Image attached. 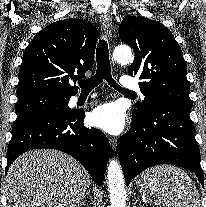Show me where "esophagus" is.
Segmentation results:
<instances>
[{
	"label": "esophagus",
	"mask_w": 206,
	"mask_h": 207,
	"mask_svg": "<svg viewBox=\"0 0 206 207\" xmlns=\"http://www.w3.org/2000/svg\"><path fill=\"white\" fill-rule=\"evenodd\" d=\"M100 24H101V28L103 30L104 36L107 39H111L112 38V30H113V27H112L111 18L109 17L108 14H103L100 17ZM117 142L118 141H117V138L116 137H112V136L109 137V143H110L111 149L113 151H116Z\"/></svg>",
	"instance_id": "obj_1"
}]
</instances>
